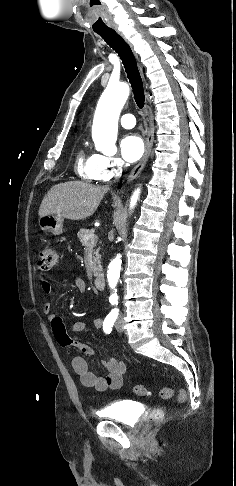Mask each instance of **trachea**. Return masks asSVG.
I'll return each instance as SVG.
<instances>
[{"mask_svg":"<svg viewBox=\"0 0 236 486\" xmlns=\"http://www.w3.org/2000/svg\"><path fill=\"white\" fill-rule=\"evenodd\" d=\"M97 33L120 56L133 90L135 102L141 109L144 106L145 101L143 82L130 46L111 28Z\"/></svg>","mask_w":236,"mask_h":486,"instance_id":"3493384b","label":"trachea"}]
</instances>
